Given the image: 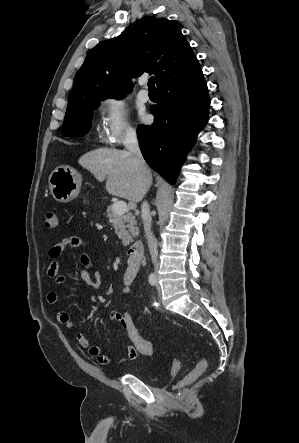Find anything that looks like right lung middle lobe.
Segmentation results:
<instances>
[{"mask_svg":"<svg viewBox=\"0 0 299 443\" xmlns=\"http://www.w3.org/2000/svg\"><path fill=\"white\" fill-rule=\"evenodd\" d=\"M125 96V95H123ZM121 99L122 96L114 97ZM105 100V99H103ZM103 100H93L67 108L62 133L65 136H83L91 126L93 109Z\"/></svg>","mask_w":299,"mask_h":443,"instance_id":"obj_1","label":"right lung middle lobe"}]
</instances>
